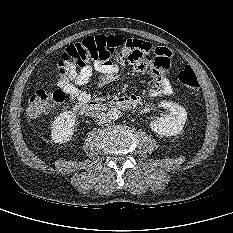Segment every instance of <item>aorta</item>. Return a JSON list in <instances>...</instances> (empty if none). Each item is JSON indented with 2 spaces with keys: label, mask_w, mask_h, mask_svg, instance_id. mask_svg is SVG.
I'll list each match as a JSON object with an SVG mask.
<instances>
[{
  "label": "aorta",
  "mask_w": 233,
  "mask_h": 233,
  "mask_svg": "<svg viewBox=\"0 0 233 233\" xmlns=\"http://www.w3.org/2000/svg\"><path fill=\"white\" fill-rule=\"evenodd\" d=\"M107 116L111 121H116L118 120L122 115L121 111L117 108H112L107 112Z\"/></svg>",
  "instance_id": "762f6f07"
}]
</instances>
